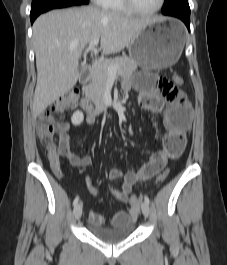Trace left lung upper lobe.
I'll use <instances>...</instances> for the list:
<instances>
[{
	"instance_id": "obj_1",
	"label": "left lung upper lobe",
	"mask_w": 227,
	"mask_h": 265,
	"mask_svg": "<svg viewBox=\"0 0 227 265\" xmlns=\"http://www.w3.org/2000/svg\"><path fill=\"white\" fill-rule=\"evenodd\" d=\"M162 14H190L188 0H165Z\"/></svg>"
}]
</instances>
